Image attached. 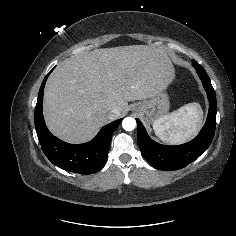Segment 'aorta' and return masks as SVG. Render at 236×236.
<instances>
[{
    "label": "aorta",
    "mask_w": 236,
    "mask_h": 236,
    "mask_svg": "<svg viewBox=\"0 0 236 236\" xmlns=\"http://www.w3.org/2000/svg\"><path fill=\"white\" fill-rule=\"evenodd\" d=\"M122 127L124 130L126 131H132L135 129L136 127V121L134 118L132 117H126L123 121H122Z\"/></svg>",
    "instance_id": "aorta-1"
}]
</instances>
